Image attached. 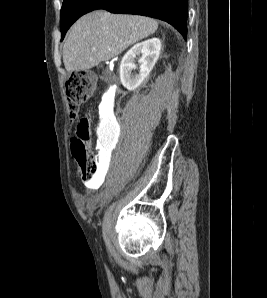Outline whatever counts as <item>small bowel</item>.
<instances>
[{
	"mask_svg": "<svg viewBox=\"0 0 267 298\" xmlns=\"http://www.w3.org/2000/svg\"><path fill=\"white\" fill-rule=\"evenodd\" d=\"M77 200H78V203L79 205L85 209V210H91L97 200H98V197L96 195H84V194H79L77 196Z\"/></svg>",
	"mask_w": 267,
	"mask_h": 298,
	"instance_id": "1",
	"label": "small bowel"
}]
</instances>
